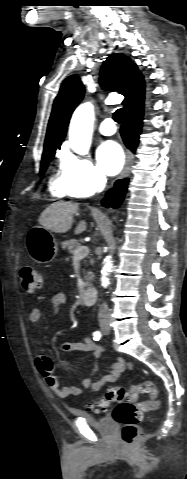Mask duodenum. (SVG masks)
Wrapping results in <instances>:
<instances>
[{
	"label": "duodenum",
	"mask_w": 187,
	"mask_h": 479,
	"mask_svg": "<svg viewBox=\"0 0 187 479\" xmlns=\"http://www.w3.org/2000/svg\"><path fill=\"white\" fill-rule=\"evenodd\" d=\"M97 297V290L95 288H86L82 292V300L87 305H92Z\"/></svg>",
	"instance_id": "duodenum-1"
}]
</instances>
